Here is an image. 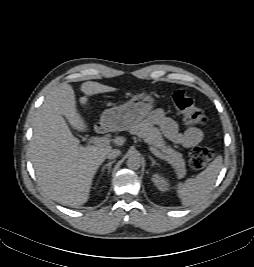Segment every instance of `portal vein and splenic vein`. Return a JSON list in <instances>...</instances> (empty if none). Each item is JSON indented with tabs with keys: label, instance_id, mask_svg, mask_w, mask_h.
<instances>
[{
	"label": "portal vein and splenic vein",
	"instance_id": "portal-vein-and-splenic-vein-1",
	"mask_svg": "<svg viewBox=\"0 0 254 267\" xmlns=\"http://www.w3.org/2000/svg\"><path fill=\"white\" fill-rule=\"evenodd\" d=\"M110 143V140L106 137H99L96 138L94 140V144L98 145V146H105L108 145ZM149 150L157 157L164 159V155L157 149L153 148V147H149Z\"/></svg>",
	"mask_w": 254,
	"mask_h": 267
}]
</instances>
